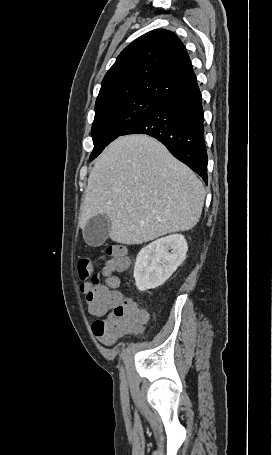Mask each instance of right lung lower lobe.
<instances>
[{
    "instance_id": "98d812e1",
    "label": "right lung lower lobe",
    "mask_w": 272,
    "mask_h": 455,
    "mask_svg": "<svg viewBox=\"0 0 272 455\" xmlns=\"http://www.w3.org/2000/svg\"><path fill=\"white\" fill-rule=\"evenodd\" d=\"M147 134L197 172L207 184V152L204 141L203 107L197 82L174 94L130 126L121 135Z\"/></svg>"
}]
</instances>
